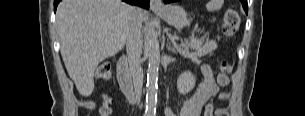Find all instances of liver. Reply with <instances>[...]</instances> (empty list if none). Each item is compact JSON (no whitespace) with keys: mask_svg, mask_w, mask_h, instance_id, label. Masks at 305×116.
Returning <instances> with one entry per match:
<instances>
[{"mask_svg":"<svg viewBox=\"0 0 305 116\" xmlns=\"http://www.w3.org/2000/svg\"><path fill=\"white\" fill-rule=\"evenodd\" d=\"M143 11L121 0H62L56 11L61 55L69 76L82 96L94 90L100 62L117 54L126 43L129 23Z\"/></svg>","mask_w":305,"mask_h":116,"instance_id":"obj_1","label":"liver"}]
</instances>
